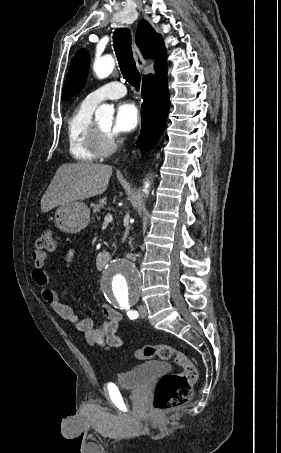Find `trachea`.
I'll use <instances>...</instances> for the list:
<instances>
[{"mask_svg": "<svg viewBox=\"0 0 281 453\" xmlns=\"http://www.w3.org/2000/svg\"><path fill=\"white\" fill-rule=\"evenodd\" d=\"M113 47L119 63V67L126 81L135 87L140 88L141 75L137 70L133 52L131 49V33L129 28H118L113 33Z\"/></svg>", "mask_w": 281, "mask_h": 453, "instance_id": "obj_1", "label": "trachea"}]
</instances>
